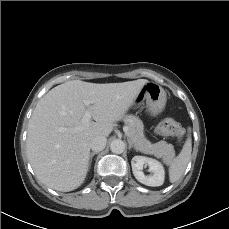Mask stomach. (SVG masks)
Returning a JSON list of instances; mask_svg holds the SVG:
<instances>
[{"mask_svg":"<svg viewBox=\"0 0 229 229\" xmlns=\"http://www.w3.org/2000/svg\"><path fill=\"white\" fill-rule=\"evenodd\" d=\"M137 98L146 102L147 112L151 116L159 115L166 104L165 90L154 82L145 84Z\"/></svg>","mask_w":229,"mask_h":229,"instance_id":"stomach-1","label":"stomach"}]
</instances>
